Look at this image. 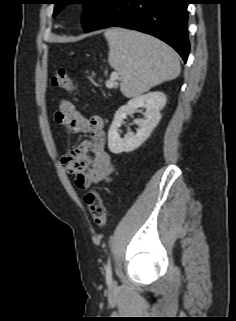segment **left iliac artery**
Here are the masks:
<instances>
[{
	"instance_id": "44dca946",
	"label": "left iliac artery",
	"mask_w": 236,
	"mask_h": 321,
	"mask_svg": "<svg viewBox=\"0 0 236 321\" xmlns=\"http://www.w3.org/2000/svg\"><path fill=\"white\" fill-rule=\"evenodd\" d=\"M106 271V280L108 284L112 283V269H111V262L108 260L107 264L105 265Z\"/></svg>"
}]
</instances>
